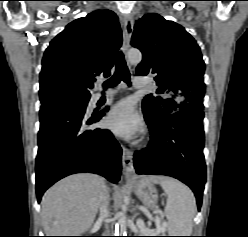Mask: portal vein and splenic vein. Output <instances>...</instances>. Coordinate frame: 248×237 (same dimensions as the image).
<instances>
[{
  "label": "portal vein and splenic vein",
  "mask_w": 248,
  "mask_h": 237,
  "mask_svg": "<svg viewBox=\"0 0 248 237\" xmlns=\"http://www.w3.org/2000/svg\"><path fill=\"white\" fill-rule=\"evenodd\" d=\"M155 223H156L157 229H160L161 228V220L158 216H156V218H155ZM137 226L140 228H145V224L142 220H137ZM164 226H165V224H164Z\"/></svg>",
  "instance_id": "obj_1"
}]
</instances>
